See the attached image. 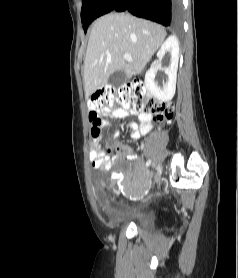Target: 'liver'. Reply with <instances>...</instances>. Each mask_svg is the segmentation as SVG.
Instances as JSON below:
<instances>
[{"label": "liver", "instance_id": "1", "mask_svg": "<svg viewBox=\"0 0 238 278\" xmlns=\"http://www.w3.org/2000/svg\"><path fill=\"white\" fill-rule=\"evenodd\" d=\"M166 35L161 25L130 14L110 13L97 19L84 62L86 97L105 87L115 71L124 70L128 79L141 73ZM125 53L131 55V62L124 59Z\"/></svg>", "mask_w": 238, "mask_h": 278}]
</instances>
